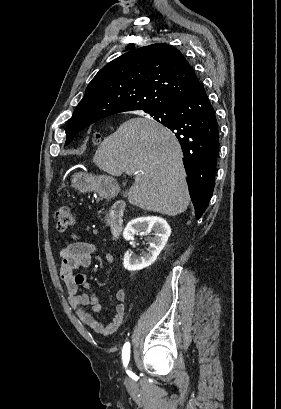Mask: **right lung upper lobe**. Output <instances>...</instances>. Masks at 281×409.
Listing matches in <instances>:
<instances>
[{
  "label": "right lung upper lobe",
  "instance_id": "cb5924a9",
  "mask_svg": "<svg viewBox=\"0 0 281 409\" xmlns=\"http://www.w3.org/2000/svg\"><path fill=\"white\" fill-rule=\"evenodd\" d=\"M199 84L176 48L156 43L131 50L96 74L67 127L89 126L125 111L161 109L186 97Z\"/></svg>",
  "mask_w": 281,
  "mask_h": 409
}]
</instances>
